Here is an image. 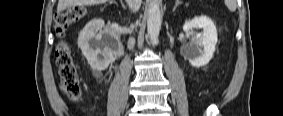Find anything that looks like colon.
<instances>
[{
  "label": "colon",
  "instance_id": "1",
  "mask_svg": "<svg viewBox=\"0 0 283 116\" xmlns=\"http://www.w3.org/2000/svg\"><path fill=\"white\" fill-rule=\"evenodd\" d=\"M84 14L85 8L76 5L58 13L54 22L55 33L61 38L55 48V58L60 74V88L70 100L79 99L82 90L71 48L62 38L68 27L80 20Z\"/></svg>",
  "mask_w": 283,
  "mask_h": 116
}]
</instances>
